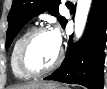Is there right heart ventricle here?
<instances>
[{"instance_id": "right-heart-ventricle-1", "label": "right heart ventricle", "mask_w": 107, "mask_h": 89, "mask_svg": "<svg viewBox=\"0 0 107 89\" xmlns=\"http://www.w3.org/2000/svg\"><path fill=\"white\" fill-rule=\"evenodd\" d=\"M32 28L26 29L14 42L11 50V57H10V64H11V69L13 71V74L22 80H27L31 78V76L27 75L24 73L18 63V56H19V51L21 48V45L27 35L31 32Z\"/></svg>"}]
</instances>
